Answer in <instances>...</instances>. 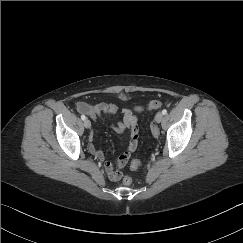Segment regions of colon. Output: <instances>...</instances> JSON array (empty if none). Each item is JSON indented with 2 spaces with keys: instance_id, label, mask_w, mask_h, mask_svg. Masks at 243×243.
<instances>
[{
  "instance_id": "1",
  "label": "colon",
  "mask_w": 243,
  "mask_h": 243,
  "mask_svg": "<svg viewBox=\"0 0 243 243\" xmlns=\"http://www.w3.org/2000/svg\"><path fill=\"white\" fill-rule=\"evenodd\" d=\"M162 106H163V103H162L161 101H159V100H152V101H150L149 104H148V108H149V109H158V108H161ZM141 165H142V163H141L140 160L133 159V160L130 162L129 167H130L131 170H137V169H139V168L141 167ZM131 182H132V179H131L130 176H128V175H124V176L122 177V183H123L124 185H130Z\"/></svg>"
}]
</instances>
